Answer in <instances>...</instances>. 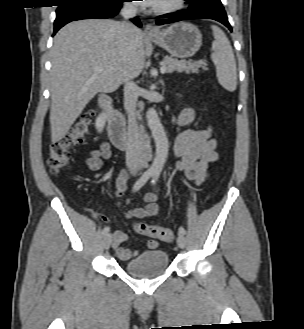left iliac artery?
<instances>
[{
    "mask_svg": "<svg viewBox=\"0 0 304 329\" xmlns=\"http://www.w3.org/2000/svg\"><path fill=\"white\" fill-rule=\"evenodd\" d=\"M158 178H159V173H154L153 174V178L151 180L152 185H155L156 184ZM179 232L181 234H185L186 233V230L181 226V227H179Z\"/></svg>",
    "mask_w": 304,
    "mask_h": 329,
    "instance_id": "obj_1",
    "label": "left iliac artery"
}]
</instances>
